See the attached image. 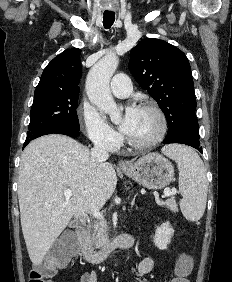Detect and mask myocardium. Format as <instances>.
Segmentation results:
<instances>
[{"label": "myocardium", "mask_w": 232, "mask_h": 282, "mask_svg": "<svg viewBox=\"0 0 232 282\" xmlns=\"http://www.w3.org/2000/svg\"><path fill=\"white\" fill-rule=\"evenodd\" d=\"M140 108L151 111L157 116L159 120L158 132L156 133V135L153 138L147 141L138 142V141L132 140L129 137H126V142L133 148L147 149V148H151L159 144L164 139L167 133V130H168V121H167L166 115L163 112V110L157 104L153 102H150V101L144 102L141 104Z\"/></svg>", "instance_id": "f54148a6"}]
</instances>
